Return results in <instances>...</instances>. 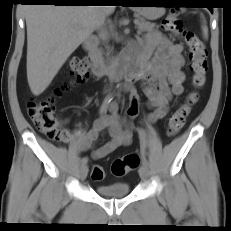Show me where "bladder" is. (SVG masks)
Returning <instances> with one entry per match:
<instances>
[{"label": "bladder", "mask_w": 231, "mask_h": 231, "mask_svg": "<svg viewBox=\"0 0 231 231\" xmlns=\"http://www.w3.org/2000/svg\"><path fill=\"white\" fill-rule=\"evenodd\" d=\"M96 191L99 195L106 198H123L129 194L130 186L127 183L97 185Z\"/></svg>", "instance_id": "bladder-1"}]
</instances>
